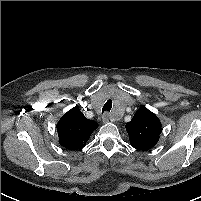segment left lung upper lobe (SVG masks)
<instances>
[{"label":"left lung upper lobe","mask_w":201,"mask_h":201,"mask_svg":"<svg viewBox=\"0 0 201 201\" xmlns=\"http://www.w3.org/2000/svg\"><path fill=\"white\" fill-rule=\"evenodd\" d=\"M125 127L131 145L142 151H147L155 146L161 133L160 120L146 107L139 108Z\"/></svg>","instance_id":"5c2ea615"}]
</instances>
